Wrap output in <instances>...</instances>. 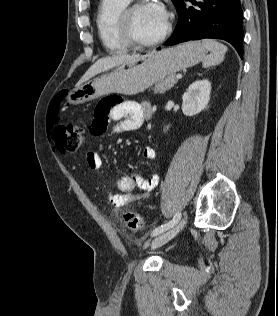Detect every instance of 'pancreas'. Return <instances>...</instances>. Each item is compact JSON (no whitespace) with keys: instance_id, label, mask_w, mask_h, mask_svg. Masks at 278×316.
Instances as JSON below:
<instances>
[{"instance_id":"cf45deb5","label":"pancreas","mask_w":278,"mask_h":316,"mask_svg":"<svg viewBox=\"0 0 278 316\" xmlns=\"http://www.w3.org/2000/svg\"><path fill=\"white\" fill-rule=\"evenodd\" d=\"M177 82L178 79L176 78V75L172 74L165 79H161L152 89L154 90V93L163 94L171 89Z\"/></svg>"}]
</instances>
